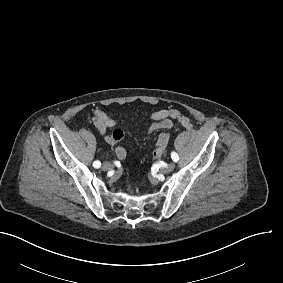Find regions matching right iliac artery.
Returning <instances> with one entry per match:
<instances>
[{"mask_svg":"<svg viewBox=\"0 0 283 283\" xmlns=\"http://www.w3.org/2000/svg\"><path fill=\"white\" fill-rule=\"evenodd\" d=\"M93 166H94L95 168H99V167L101 166V162H100V161H94V162H93Z\"/></svg>","mask_w":283,"mask_h":283,"instance_id":"right-iliac-artery-1","label":"right iliac artery"}]
</instances>
